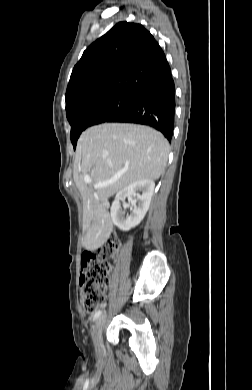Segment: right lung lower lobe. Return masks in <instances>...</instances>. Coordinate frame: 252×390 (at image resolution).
<instances>
[{
	"label": "right lung lower lobe",
	"instance_id": "right-lung-lower-lobe-1",
	"mask_svg": "<svg viewBox=\"0 0 252 390\" xmlns=\"http://www.w3.org/2000/svg\"><path fill=\"white\" fill-rule=\"evenodd\" d=\"M175 85L172 75L154 81L134 96L132 104L106 122H127L151 126L171 141L175 117Z\"/></svg>",
	"mask_w": 252,
	"mask_h": 390
}]
</instances>
